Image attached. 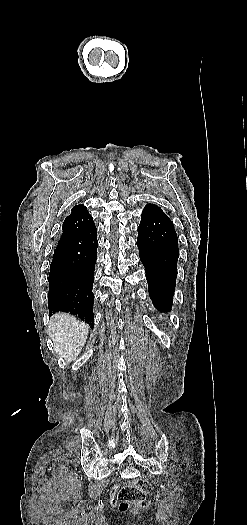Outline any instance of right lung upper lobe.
<instances>
[{
  "mask_svg": "<svg viewBox=\"0 0 247 525\" xmlns=\"http://www.w3.org/2000/svg\"><path fill=\"white\" fill-rule=\"evenodd\" d=\"M93 224V218L87 211L86 206L82 204L75 205L71 209V214L64 220L62 236L59 242L84 231Z\"/></svg>",
  "mask_w": 247,
  "mask_h": 525,
  "instance_id": "obj_1",
  "label": "right lung upper lobe"
}]
</instances>
